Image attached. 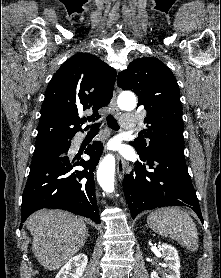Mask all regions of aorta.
Wrapping results in <instances>:
<instances>
[{"mask_svg":"<svg viewBox=\"0 0 221 278\" xmlns=\"http://www.w3.org/2000/svg\"><path fill=\"white\" fill-rule=\"evenodd\" d=\"M136 105V98L131 96L129 98H122L119 101V106L122 109H132ZM115 158L112 155H107L100 163L97 170V180L101 188L106 193H112L115 190Z\"/></svg>","mask_w":221,"mask_h":278,"instance_id":"1","label":"aorta"}]
</instances>
